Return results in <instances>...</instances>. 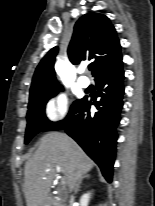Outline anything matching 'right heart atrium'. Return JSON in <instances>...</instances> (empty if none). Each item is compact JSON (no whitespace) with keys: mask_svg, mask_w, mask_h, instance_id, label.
Instances as JSON below:
<instances>
[{"mask_svg":"<svg viewBox=\"0 0 155 206\" xmlns=\"http://www.w3.org/2000/svg\"><path fill=\"white\" fill-rule=\"evenodd\" d=\"M68 111V102L64 94H59L48 101L45 108L46 117L50 121H57L63 118Z\"/></svg>","mask_w":155,"mask_h":206,"instance_id":"1","label":"right heart atrium"}]
</instances>
